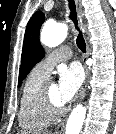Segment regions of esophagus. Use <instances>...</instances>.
<instances>
[{
    "label": "esophagus",
    "mask_w": 116,
    "mask_h": 134,
    "mask_svg": "<svg viewBox=\"0 0 116 134\" xmlns=\"http://www.w3.org/2000/svg\"><path fill=\"white\" fill-rule=\"evenodd\" d=\"M75 4H76V9H77V12H78V16H79V18H81V15H82L81 0H75ZM86 50H87L86 56L83 59V64H84V68H85V80H84L83 85L81 87V90H80V93H79V96H78V100H80L84 96V94H85V90H86V86H87V81H88V76H89V70H88V67H87V64H86V58L88 57L89 52H90V48H89L88 44L86 45ZM64 125H65V120L62 121L60 125H58V127L55 130V132L57 134L61 133L63 128H64Z\"/></svg>",
    "instance_id": "esophagus-1"
}]
</instances>
